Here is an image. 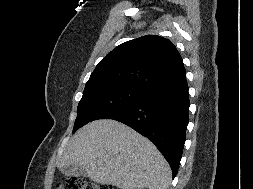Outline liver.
Wrapping results in <instances>:
<instances>
[{"label": "liver", "mask_w": 253, "mask_h": 189, "mask_svg": "<svg viewBox=\"0 0 253 189\" xmlns=\"http://www.w3.org/2000/svg\"><path fill=\"white\" fill-rule=\"evenodd\" d=\"M78 164L90 180L120 189H168L171 169L146 137L115 120L86 124L71 138L59 169Z\"/></svg>", "instance_id": "obj_1"}]
</instances>
